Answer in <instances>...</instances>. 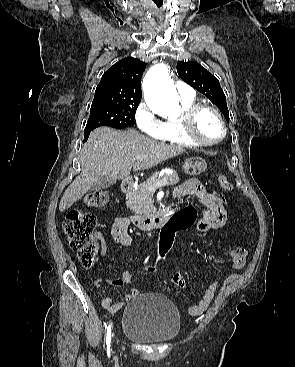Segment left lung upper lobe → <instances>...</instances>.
Wrapping results in <instances>:
<instances>
[{"mask_svg": "<svg viewBox=\"0 0 295 367\" xmlns=\"http://www.w3.org/2000/svg\"><path fill=\"white\" fill-rule=\"evenodd\" d=\"M177 72L183 81L211 100L224 114L226 120L229 121L226 97L218 79L214 75L194 61L179 62Z\"/></svg>", "mask_w": 295, "mask_h": 367, "instance_id": "obj_1", "label": "left lung upper lobe"}]
</instances>
